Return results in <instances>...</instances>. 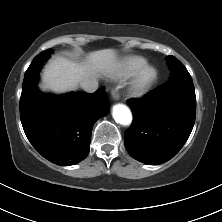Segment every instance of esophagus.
<instances>
[{"mask_svg":"<svg viewBox=\"0 0 222 222\" xmlns=\"http://www.w3.org/2000/svg\"><path fill=\"white\" fill-rule=\"evenodd\" d=\"M111 95L113 100H118L119 99V92H118V88L117 87H113L111 90Z\"/></svg>","mask_w":222,"mask_h":222,"instance_id":"esophagus-1","label":"esophagus"}]
</instances>
